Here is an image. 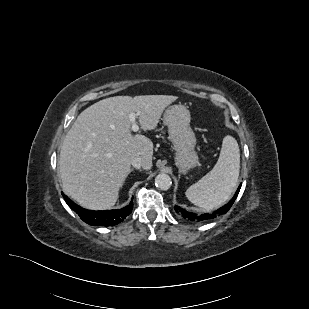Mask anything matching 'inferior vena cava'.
<instances>
[{
	"label": "inferior vena cava",
	"mask_w": 309,
	"mask_h": 309,
	"mask_svg": "<svg viewBox=\"0 0 309 309\" xmlns=\"http://www.w3.org/2000/svg\"><path fill=\"white\" fill-rule=\"evenodd\" d=\"M130 164L134 167V168H141L143 167V160L140 156H133L131 159H130Z\"/></svg>",
	"instance_id": "inferior-vena-cava-1"
}]
</instances>
